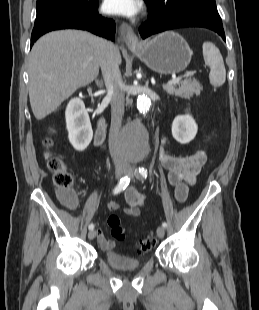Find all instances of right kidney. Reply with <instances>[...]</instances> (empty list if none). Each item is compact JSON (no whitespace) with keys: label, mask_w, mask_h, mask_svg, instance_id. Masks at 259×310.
I'll return each instance as SVG.
<instances>
[{"label":"right kidney","mask_w":259,"mask_h":310,"mask_svg":"<svg viewBox=\"0 0 259 310\" xmlns=\"http://www.w3.org/2000/svg\"><path fill=\"white\" fill-rule=\"evenodd\" d=\"M65 117L70 143L75 150L84 151L92 140L93 131L89 115L80 98L70 100Z\"/></svg>","instance_id":"right-kidney-1"}]
</instances>
